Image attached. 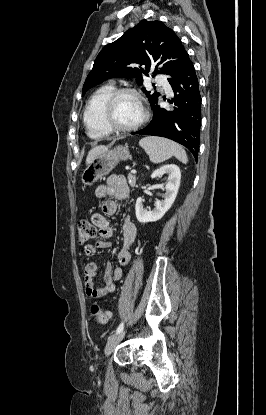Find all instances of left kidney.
<instances>
[{
  "instance_id": "left-kidney-1",
  "label": "left kidney",
  "mask_w": 266,
  "mask_h": 415,
  "mask_svg": "<svg viewBox=\"0 0 266 415\" xmlns=\"http://www.w3.org/2000/svg\"><path fill=\"white\" fill-rule=\"evenodd\" d=\"M164 174L168 175V182L165 185L166 192L164 194V199L161 201L157 200L153 210H147L144 208L143 199L141 197H139L136 201V218L140 223L155 222L160 220L171 208L176 199L181 179L180 169L174 164L164 165L155 170L152 173L151 178L161 177Z\"/></svg>"
}]
</instances>
